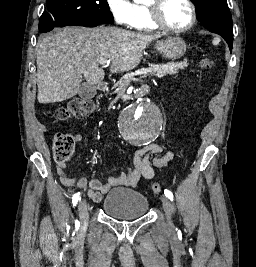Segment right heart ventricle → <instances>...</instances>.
<instances>
[{"label": "right heart ventricle", "instance_id": "obj_1", "mask_svg": "<svg viewBox=\"0 0 256 267\" xmlns=\"http://www.w3.org/2000/svg\"><path fill=\"white\" fill-rule=\"evenodd\" d=\"M135 6L140 11L142 18L145 19L149 11V1L148 0H136Z\"/></svg>", "mask_w": 256, "mask_h": 267}]
</instances>
